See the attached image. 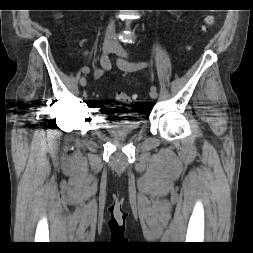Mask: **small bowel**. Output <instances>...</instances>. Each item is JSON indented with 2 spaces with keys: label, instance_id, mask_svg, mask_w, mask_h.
<instances>
[{
  "label": "small bowel",
  "instance_id": "obj_1",
  "mask_svg": "<svg viewBox=\"0 0 253 253\" xmlns=\"http://www.w3.org/2000/svg\"><path fill=\"white\" fill-rule=\"evenodd\" d=\"M85 73L89 72L88 68H84L83 70ZM104 73V68H98L93 72V76L95 79H98L102 76V74Z\"/></svg>",
  "mask_w": 253,
  "mask_h": 253
}]
</instances>
